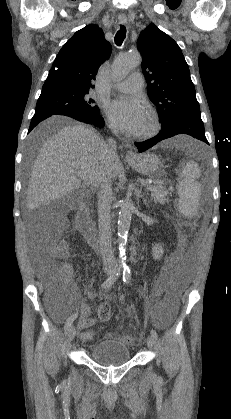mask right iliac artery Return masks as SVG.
I'll return each instance as SVG.
<instances>
[{
	"label": "right iliac artery",
	"instance_id": "obj_1",
	"mask_svg": "<svg viewBox=\"0 0 231 419\" xmlns=\"http://www.w3.org/2000/svg\"><path fill=\"white\" fill-rule=\"evenodd\" d=\"M118 275H119V269H117L102 285H101V287L100 288H109V287H111L113 284H114V282L116 281V279H117V277H118ZM77 317V314H75V315H73V316H71V317H69L68 319H67V321H66V323H65V327H64V329H65V333L67 334L68 333V331H69V329H70V326H71V324H72V322H73V320L75 319Z\"/></svg>",
	"mask_w": 231,
	"mask_h": 419
}]
</instances>
